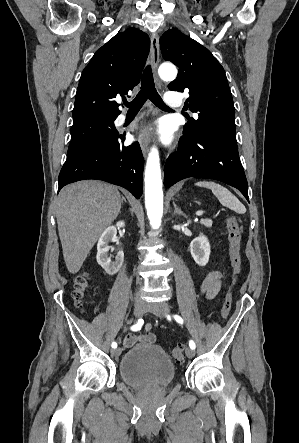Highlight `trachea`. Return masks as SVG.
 <instances>
[{
  "label": "trachea",
  "instance_id": "3493384b",
  "mask_svg": "<svg viewBox=\"0 0 299 443\" xmlns=\"http://www.w3.org/2000/svg\"><path fill=\"white\" fill-rule=\"evenodd\" d=\"M147 99L153 102L160 109H169V107L166 106V104L163 102L162 98L155 88L152 69L150 65H147V67L144 69L141 89L139 93L133 101H125L124 104L130 112H138Z\"/></svg>",
  "mask_w": 299,
  "mask_h": 443
}]
</instances>
